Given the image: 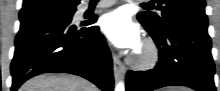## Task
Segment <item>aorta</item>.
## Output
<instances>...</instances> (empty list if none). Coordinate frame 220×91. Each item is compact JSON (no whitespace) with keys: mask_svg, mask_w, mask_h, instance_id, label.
Returning <instances> with one entry per match:
<instances>
[{"mask_svg":"<svg viewBox=\"0 0 220 91\" xmlns=\"http://www.w3.org/2000/svg\"><path fill=\"white\" fill-rule=\"evenodd\" d=\"M115 91H125V86L123 82H119L116 87H115Z\"/></svg>","mask_w":220,"mask_h":91,"instance_id":"1","label":"aorta"}]
</instances>
